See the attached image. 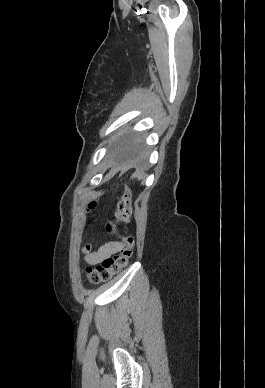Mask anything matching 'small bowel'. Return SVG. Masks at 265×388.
Masks as SVG:
<instances>
[{"label":"small bowel","mask_w":265,"mask_h":388,"mask_svg":"<svg viewBox=\"0 0 265 388\" xmlns=\"http://www.w3.org/2000/svg\"><path fill=\"white\" fill-rule=\"evenodd\" d=\"M121 248L122 244L120 242H105L95 252L88 254L86 261L91 265L99 264L103 259L119 252Z\"/></svg>","instance_id":"c3829d8e"}]
</instances>
